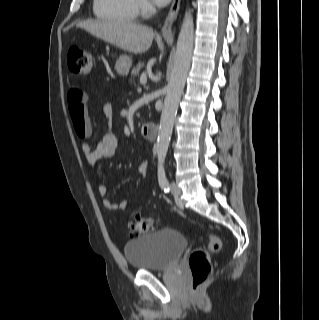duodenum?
I'll use <instances>...</instances> for the list:
<instances>
[{
    "label": "duodenum",
    "mask_w": 319,
    "mask_h": 320,
    "mask_svg": "<svg viewBox=\"0 0 319 320\" xmlns=\"http://www.w3.org/2000/svg\"><path fill=\"white\" fill-rule=\"evenodd\" d=\"M141 135L148 141H155L158 136V129L154 123H145L141 127Z\"/></svg>",
    "instance_id": "obj_1"
}]
</instances>
